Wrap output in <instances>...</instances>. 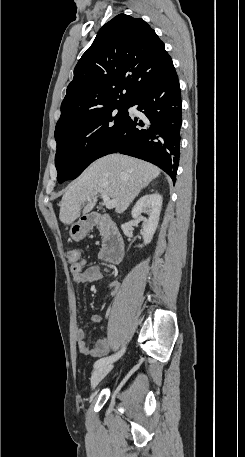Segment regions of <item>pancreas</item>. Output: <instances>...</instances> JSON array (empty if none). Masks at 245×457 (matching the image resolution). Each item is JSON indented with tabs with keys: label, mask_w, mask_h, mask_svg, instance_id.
Returning <instances> with one entry per match:
<instances>
[{
	"label": "pancreas",
	"mask_w": 245,
	"mask_h": 457,
	"mask_svg": "<svg viewBox=\"0 0 245 457\" xmlns=\"http://www.w3.org/2000/svg\"><path fill=\"white\" fill-rule=\"evenodd\" d=\"M97 229H98V231L100 233V237H102V239H103V237H104V226H103V224H98Z\"/></svg>",
	"instance_id": "1"
}]
</instances>
